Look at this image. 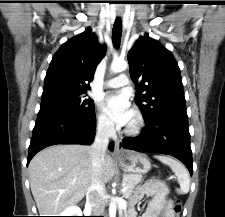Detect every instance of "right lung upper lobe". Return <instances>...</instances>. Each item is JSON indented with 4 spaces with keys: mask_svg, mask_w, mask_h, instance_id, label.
<instances>
[{
    "mask_svg": "<svg viewBox=\"0 0 225 217\" xmlns=\"http://www.w3.org/2000/svg\"><path fill=\"white\" fill-rule=\"evenodd\" d=\"M105 53V46L99 45L90 28L69 39L51 60L44 80L43 94L54 91L86 93Z\"/></svg>",
    "mask_w": 225,
    "mask_h": 217,
    "instance_id": "1",
    "label": "right lung upper lobe"
}]
</instances>
